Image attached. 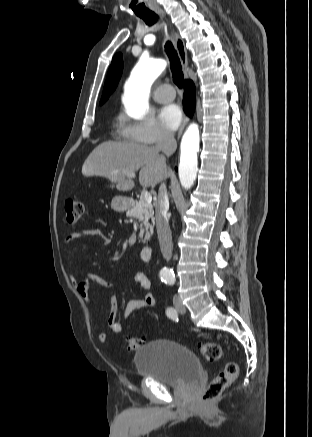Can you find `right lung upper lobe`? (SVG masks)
<instances>
[{"mask_svg": "<svg viewBox=\"0 0 312 437\" xmlns=\"http://www.w3.org/2000/svg\"><path fill=\"white\" fill-rule=\"evenodd\" d=\"M122 70H123L122 54L118 53L114 56L111 66L109 68L100 104H103L109 98V95L115 90L118 81L121 77Z\"/></svg>", "mask_w": 312, "mask_h": 437, "instance_id": "cb5924a9", "label": "right lung upper lobe"}]
</instances>
